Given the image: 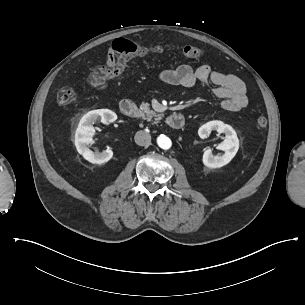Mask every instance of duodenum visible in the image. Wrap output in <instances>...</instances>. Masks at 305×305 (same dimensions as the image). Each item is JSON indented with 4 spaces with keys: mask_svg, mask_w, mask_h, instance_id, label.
Returning a JSON list of instances; mask_svg holds the SVG:
<instances>
[{
    "mask_svg": "<svg viewBox=\"0 0 305 305\" xmlns=\"http://www.w3.org/2000/svg\"><path fill=\"white\" fill-rule=\"evenodd\" d=\"M121 113L126 117H135L139 114V108L137 104L131 100H123L120 103ZM167 125L171 129H181L184 125V118L181 114L172 113L166 119Z\"/></svg>",
    "mask_w": 305,
    "mask_h": 305,
    "instance_id": "duodenum-1",
    "label": "duodenum"
}]
</instances>
